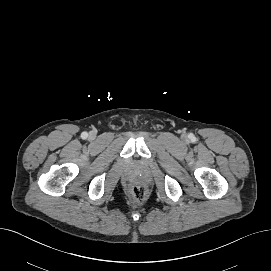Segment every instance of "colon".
I'll return each mask as SVG.
<instances>
[{
    "mask_svg": "<svg viewBox=\"0 0 271 271\" xmlns=\"http://www.w3.org/2000/svg\"><path fill=\"white\" fill-rule=\"evenodd\" d=\"M131 196L136 203L141 204L147 198V190L142 185H134L131 188Z\"/></svg>",
    "mask_w": 271,
    "mask_h": 271,
    "instance_id": "5ec220e1",
    "label": "colon"
}]
</instances>
